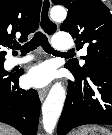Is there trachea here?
Listing matches in <instances>:
<instances>
[{
	"label": "trachea",
	"instance_id": "3493384b",
	"mask_svg": "<svg viewBox=\"0 0 112 135\" xmlns=\"http://www.w3.org/2000/svg\"><path fill=\"white\" fill-rule=\"evenodd\" d=\"M46 8V1L44 2V6L43 9ZM47 24V22H46ZM45 29V27H44ZM44 49L45 52L49 53V54H63V55H68L71 53H66V52H59L54 50L50 43L48 42L47 37L42 33V32H37L34 37L27 43H25L24 45H19V44H14V46L12 47V49L14 50H20L21 53L24 55L30 51L35 50L38 46H40Z\"/></svg>",
	"mask_w": 112,
	"mask_h": 135
}]
</instances>
